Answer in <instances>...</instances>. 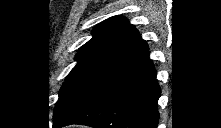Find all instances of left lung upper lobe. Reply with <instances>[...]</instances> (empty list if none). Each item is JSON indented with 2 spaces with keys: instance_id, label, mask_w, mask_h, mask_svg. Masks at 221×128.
Here are the masks:
<instances>
[{
  "instance_id": "1",
  "label": "left lung upper lobe",
  "mask_w": 221,
  "mask_h": 128,
  "mask_svg": "<svg viewBox=\"0 0 221 128\" xmlns=\"http://www.w3.org/2000/svg\"><path fill=\"white\" fill-rule=\"evenodd\" d=\"M76 55L53 112V127L63 124L99 99L148 55V45L126 18L111 17L92 31Z\"/></svg>"
}]
</instances>
